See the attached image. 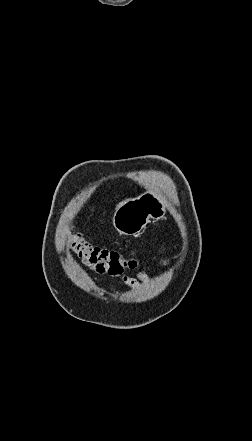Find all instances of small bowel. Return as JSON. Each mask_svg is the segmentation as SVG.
<instances>
[{"mask_svg":"<svg viewBox=\"0 0 252 441\" xmlns=\"http://www.w3.org/2000/svg\"><path fill=\"white\" fill-rule=\"evenodd\" d=\"M144 278L145 275L143 274H139L137 278H130L125 276L123 277V282L129 287H134L139 283V281L143 280Z\"/></svg>","mask_w":252,"mask_h":441,"instance_id":"obj_1","label":"small bowel"}]
</instances>
